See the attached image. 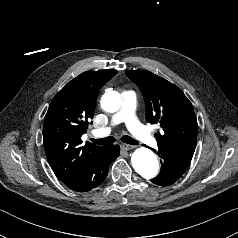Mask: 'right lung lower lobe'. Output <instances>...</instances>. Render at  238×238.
Here are the masks:
<instances>
[{
	"label": "right lung lower lobe",
	"mask_w": 238,
	"mask_h": 238,
	"mask_svg": "<svg viewBox=\"0 0 238 238\" xmlns=\"http://www.w3.org/2000/svg\"><path fill=\"white\" fill-rule=\"evenodd\" d=\"M119 151L118 145L104 146L76 173L62 182L76 192H87L96 188L104 181L109 165L119 156Z\"/></svg>",
	"instance_id": "obj_1"
}]
</instances>
